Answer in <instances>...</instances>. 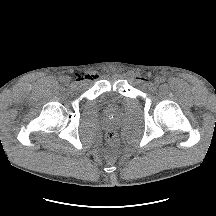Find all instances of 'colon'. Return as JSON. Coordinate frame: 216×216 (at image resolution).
<instances>
[{
  "instance_id": "obj_1",
  "label": "colon",
  "mask_w": 216,
  "mask_h": 216,
  "mask_svg": "<svg viewBox=\"0 0 216 216\" xmlns=\"http://www.w3.org/2000/svg\"><path fill=\"white\" fill-rule=\"evenodd\" d=\"M107 141L110 145H116L119 141L117 133L115 131H109L107 133Z\"/></svg>"
}]
</instances>
